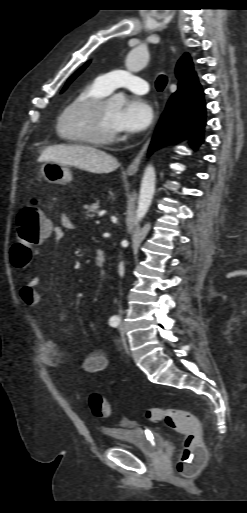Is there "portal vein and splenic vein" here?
<instances>
[{
    "label": "portal vein and splenic vein",
    "mask_w": 247,
    "mask_h": 513,
    "mask_svg": "<svg viewBox=\"0 0 247 513\" xmlns=\"http://www.w3.org/2000/svg\"><path fill=\"white\" fill-rule=\"evenodd\" d=\"M96 223H97V224H99V223H100V221H99V220H97V221H96Z\"/></svg>",
    "instance_id": "obj_1"
}]
</instances>
